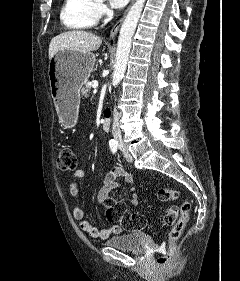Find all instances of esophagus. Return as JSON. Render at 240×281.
<instances>
[{
  "mask_svg": "<svg viewBox=\"0 0 240 281\" xmlns=\"http://www.w3.org/2000/svg\"><path fill=\"white\" fill-rule=\"evenodd\" d=\"M133 1H134V0H132L130 6L132 5ZM130 6L127 8V10H126L125 13L123 14V16H122V17L116 22V24L113 26V28H112V30H111V33H110V38H111V39H114V38L116 37V35H117L118 31H119V28H120V26H121V24H122V22H123V20H124V18H125V16H126L128 10H129Z\"/></svg>",
  "mask_w": 240,
  "mask_h": 281,
  "instance_id": "1",
  "label": "esophagus"
}]
</instances>
